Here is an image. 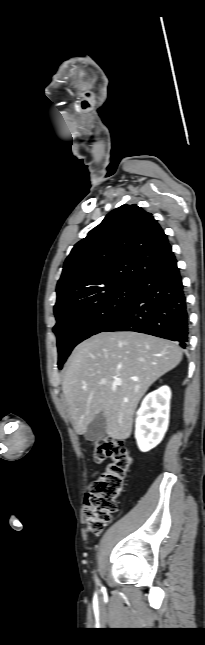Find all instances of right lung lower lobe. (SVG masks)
<instances>
[{
  "label": "right lung lower lobe",
  "mask_w": 205,
  "mask_h": 645,
  "mask_svg": "<svg viewBox=\"0 0 205 645\" xmlns=\"http://www.w3.org/2000/svg\"><path fill=\"white\" fill-rule=\"evenodd\" d=\"M186 297L177 261L160 266L136 284L133 303L102 332L135 331L188 346Z\"/></svg>",
  "instance_id": "1"
}]
</instances>
